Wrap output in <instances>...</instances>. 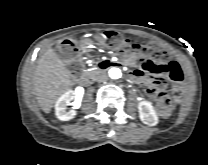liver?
I'll return each mask as SVG.
<instances>
[{
  "instance_id": "liver-1",
  "label": "liver",
  "mask_w": 208,
  "mask_h": 165,
  "mask_svg": "<svg viewBox=\"0 0 208 165\" xmlns=\"http://www.w3.org/2000/svg\"><path fill=\"white\" fill-rule=\"evenodd\" d=\"M70 73L64 62L51 48L39 58L33 81L40 108L49 113L56 100L72 86Z\"/></svg>"
}]
</instances>
